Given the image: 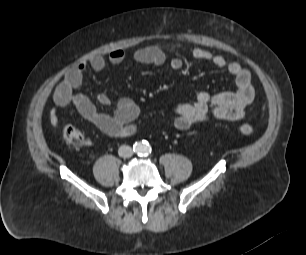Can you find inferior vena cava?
<instances>
[{
    "label": "inferior vena cava",
    "instance_id": "obj_1",
    "mask_svg": "<svg viewBox=\"0 0 306 255\" xmlns=\"http://www.w3.org/2000/svg\"><path fill=\"white\" fill-rule=\"evenodd\" d=\"M118 154L120 157L129 158L133 155V150L130 146L122 145L118 150Z\"/></svg>",
    "mask_w": 306,
    "mask_h": 255
}]
</instances>
